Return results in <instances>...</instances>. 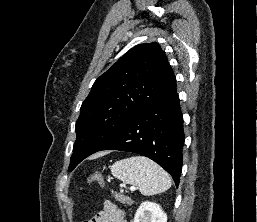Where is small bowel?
Here are the masks:
<instances>
[{
  "label": "small bowel",
  "mask_w": 257,
  "mask_h": 222,
  "mask_svg": "<svg viewBox=\"0 0 257 222\" xmlns=\"http://www.w3.org/2000/svg\"><path fill=\"white\" fill-rule=\"evenodd\" d=\"M84 222H127L125 213L119 209L114 203L107 200L104 207L91 219Z\"/></svg>",
  "instance_id": "obj_1"
}]
</instances>
